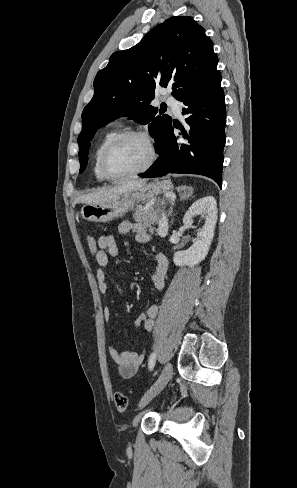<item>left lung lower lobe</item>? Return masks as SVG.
Returning <instances> with one entry per match:
<instances>
[{
    "mask_svg": "<svg viewBox=\"0 0 297 488\" xmlns=\"http://www.w3.org/2000/svg\"><path fill=\"white\" fill-rule=\"evenodd\" d=\"M182 102L186 124L175 126L180 135L175 136L171 123L158 151L160 157L139 176L199 174L212 178L221 187L226 110L220 72Z\"/></svg>",
    "mask_w": 297,
    "mask_h": 488,
    "instance_id": "obj_1",
    "label": "left lung lower lobe"
}]
</instances>
